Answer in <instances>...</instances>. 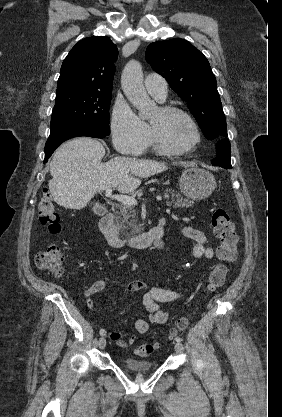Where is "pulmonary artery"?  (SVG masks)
<instances>
[{
    "mask_svg": "<svg viewBox=\"0 0 282 417\" xmlns=\"http://www.w3.org/2000/svg\"><path fill=\"white\" fill-rule=\"evenodd\" d=\"M144 85L148 93L154 96L157 100H164L167 96V82L157 74H149L144 79Z\"/></svg>",
    "mask_w": 282,
    "mask_h": 417,
    "instance_id": "pulmonary-artery-1",
    "label": "pulmonary artery"
}]
</instances>
